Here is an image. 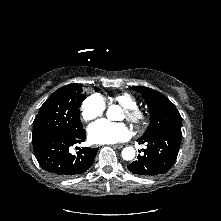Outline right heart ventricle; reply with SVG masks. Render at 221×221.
<instances>
[{
  "label": "right heart ventricle",
  "mask_w": 221,
  "mask_h": 221,
  "mask_svg": "<svg viewBox=\"0 0 221 221\" xmlns=\"http://www.w3.org/2000/svg\"><path fill=\"white\" fill-rule=\"evenodd\" d=\"M112 100L119 103L124 108L135 107L137 101L134 96L129 93H119L112 97Z\"/></svg>",
  "instance_id": "right-heart-ventricle-1"
}]
</instances>
